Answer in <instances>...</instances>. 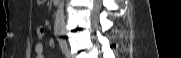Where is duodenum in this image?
<instances>
[{
	"mask_svg": "<svg viewBox=\"0 0 181 58\" xmlns=\"http://www.w3.org/2000/svg\"><path fill=\"white\" fill-rule=\"evenodd\" d=\"M53 3H54L55 5H57V4H59V0H53Z\"/></svg>",
	"mask_w": 181,
	"mask_h": 58,
	"instance_id": "1",
	"label": "duodenum"
}]
</instances>
